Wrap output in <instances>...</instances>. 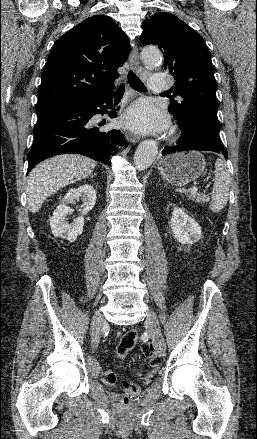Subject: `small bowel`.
Here are the masks:
<instances>
[{
    "label": "small bowel",
    "instance_id": "1",
    "mask_svg": "<svg viewBox=\"0 0 257 439\" xmlns=\"http://www.w3.org/2000/svg\"><path fill=\"white\" fill-rule=\"evenodd\" d=\"M140 377H141L144 381H148L149 378H150V375H149V374H148V375H142V374H140Z\"/></svg>",
    "mask_w": 257,
    "mask_h": 439
}]
</instances>
